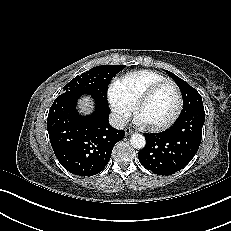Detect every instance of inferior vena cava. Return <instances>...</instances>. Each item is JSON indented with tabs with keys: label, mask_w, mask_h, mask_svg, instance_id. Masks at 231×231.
Here are the masks:
<instances>
[{
	"label": "inferior vena cava",
	"mask_w": 231,
	"mask_h": 231,
	"mask_svg": "<svg viewBox=\"0 0 231 231\" xmlns=\"http://www.w3.org/2000/svg\"><path fill=\"white\" fill-rule=\"evenodd\" d=\"M127 122V119L119 114L111 113L109 116L110 125L116 129H124L127 125Z\"/></svg>",
	"instance_id": "1"
}]
</instances>
